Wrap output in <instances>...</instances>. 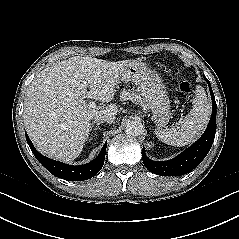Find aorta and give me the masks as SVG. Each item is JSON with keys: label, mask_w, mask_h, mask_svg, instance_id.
Returning <instances> with one entry per match:
<instances>
[{"label": "aorta", "mask_w": 239, "mask_h": 239, "mask_svg": "<svg viewBox=\"0 0 239 239\" xmlns=\"http://www.w3.org/2000/svg\"><path fill=\"white\" fill-rule=\"evenodd\" d=\"M125 132L130 136H140L144 132V127L139 121H129L125 126Z\"/></svg>", "instance_id": "obj_1"}]
</instances>
